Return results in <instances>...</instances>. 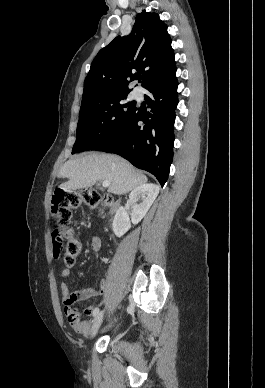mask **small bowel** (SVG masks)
Returning <instances> with one entry per match:
<instances>
[{"mask_svg": "<svg viewBox=\"0 0 265 388\" xmlns=\"http://www.w3.org/2000/svg\"><path fill=\"white\" fill-rule=\"evenodd\" d=\"M101 239L97 236H93L90 239V247L94 253V255L97 257L99 254V251L101 249ZM69 275V270L65 269L62 271L61 276L62 277H67ZM105 288V281H101L98 286H90V287H85L82 289H79L75 292H70L68 286L65 283L61 284V292H62V297H63V303L65 305V313L67 315L70 314H76L78 317V313L72 308V305L77 301V300H87L90 299L96 295H101L104 291ZM94 305H89L87 306L85 313L87 315H93V311L96 309ZM72 327L75 329L76 332L82 335H86L89 332L90 326H91V321L90 320H78L76 322H71Z\"/></svg>", "mask_w": 265, "mask_h": 388, "instance_id": "1", "label": "small bowel"}]
</instances>
